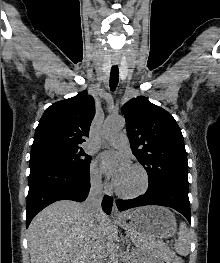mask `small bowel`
Listing matches in <instances>:
<instances>
[{
  "label": "small bowel",
  "mask_w": 220,
  "mask_h": 263,
  "mask_svg": "<svg viewBox=\"0 0 220 263\" xmlns=\"http://www.w3.org/2000/svg\"><path fill=\"white\" fill-rule=\"evenodd\" d=\"M154 263H161L160 261H155Z\"/></svg>",
  "instance_id": "c3829d8e"
}]
</instances>
